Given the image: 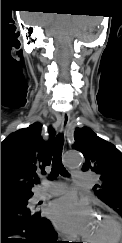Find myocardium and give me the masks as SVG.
I'll return each mask as SVG.
<instances>
[{"label": "myocardium", "instance_id": "obj_1", "mask_svg": "<svg viewBox=\"0 0 122 243\" xmlns=\"http://www.w3.org/2000/svg\"><path fill=\"white\" fill-rule=\"evenodd\" d=\"M101 218L107 220L110 224V233L107 237L103 239H90V243H118L119 239L122 237V224L113 215L108 213H102Z\"/></svg>", "mask_w": 122, "mask_h": 243}]
</instances>
